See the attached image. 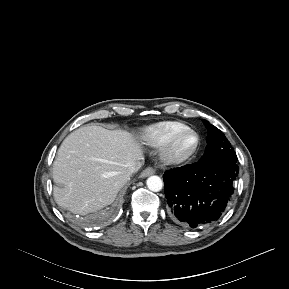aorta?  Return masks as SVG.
I'll use <instances>...</instances> for the list:
<instances>
[{"instance_id": "aorta-1", "label": "aorta", "mask_w": 289, "mask_h": 289, "mask_svg": "<svg viewBox=\"0 0 289 289\" xmlns=\"http://www.w3.org/2000/svg\"><path fill=\"white\" fill-rule=\"evenodd\" d=\"M147 187L153 192H158L163 187V181L159 176H150L146 181Z\"/></svg>"}]
</instances>
